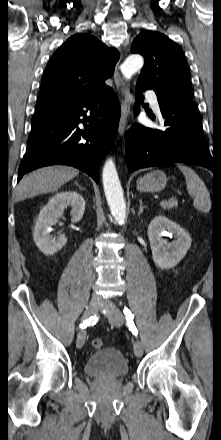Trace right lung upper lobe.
<instances>
[{"mask_svg": "<svg viewBox=\"0 0 221 440\" xmlns=\"http://www.w3.org/2000/svg\"><path fill=\"white\" fill-rule=\"evenodd\" d=\"M118 59L115 49L92 35L71 36L49 61L36 106L105 92Z\"/></svg>", "mask_w": 221, "mask_h": 440, "instance_id": "obj_1", "label": "right lung upper lobe"}]
</instances>
